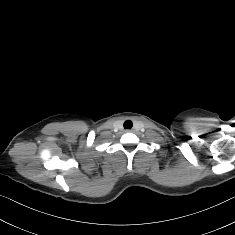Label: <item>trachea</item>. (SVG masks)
<instances>
[{"mask_svg": "<svg viewBox=\"0 0 235 235\" xmlns=\"http://www.w3.org/2000/svg\"><path fill=\"white\" fill-rule=\"evenodd\" d=\"M132 126H133V124H132V122H131L130 120H126V121L124 122V128H125V129H131Z\"/></svg>", "mask_w": 235, "mask_h": 235, "instance_id": "3493384b", "label": "trachea"}]
</instances>
